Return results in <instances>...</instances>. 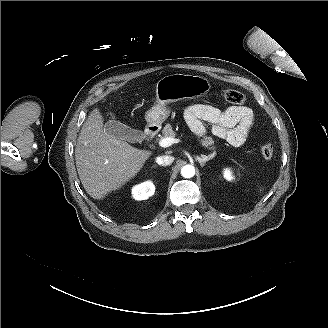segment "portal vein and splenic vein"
Wrapping results in <instances>:
<instances>
[{
  "instance_id": "obj_1",
  "label": "portal vein and splenic vein",
  "mask_w": 328,
  "mask_h": 328,
  "mask_svg": "<svg viewBox=\"0 0 328 328\" xmlns=\"http://www.w3.org/2000/svg\"><path fill=\"white\" fill-rule=\"evenodd\" d=\"M179 142H180V139L167 137V138H163L159 141V146H161L163 148H167V147L171 146L172 144L179 143Z\"/></svg>"
}]
</instances>
